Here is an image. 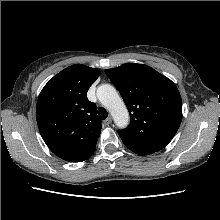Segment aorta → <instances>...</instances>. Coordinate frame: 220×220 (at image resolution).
I'll return each mask as SVG.
<instances>
[{"mask_svg":"<svg viewBox=\"0 0 220 220\" xmlns=\"http://www.w3.org/2000/svg\"><path fill=\"white\" fill-rule=\"evenodd\" d=\"M97 97L101 104L111 113L114 122L119 128L129 123L128 110L117 90L110 84H102L97 88Z\"/></svg>","mask_w":220,"mask_h":220,"instance_id":"aorta-1","label":"aorta"}]
</instances>
